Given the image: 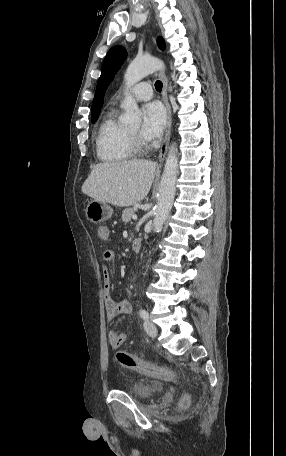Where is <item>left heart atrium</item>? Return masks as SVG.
Listing matches in <instances>:
<instances>
[{
  "mask_svg": "<svg viewBox=\"0 0 286 456\" xmlns=\"http://www.w3.org/2000/svg\"><path fill=\"white\" fill-rule=\"evenodd\" d=\"M143 126L141 136L147 141L160 137L166 123V112L158 102L147 103L143 107Z\"/></svg>",
  "mask_w": 286,
  "mask_h": 456,
  "instance_id": "39dd6f15",
  "label": "left heart atrium"
}]
</instances>
